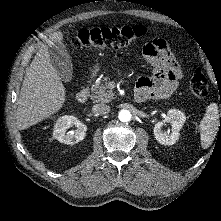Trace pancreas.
<instances>
[{"label": "pancreas", "mask_w": 221, "mask_h": 221, "mask_svg": "<svg viewBox=\"0 0 221 221\" xmlns=\"http://www.w3.org/2000/svg\"><path fill=\"white\" fill-rule=\"evenodd\" d=\"M108 78L105 77L103 80H97L91 88V99L94 102L107 103L114 98L112 90L107 88Z\"/></svg>", "instance_id": "1"}]
</instances>
